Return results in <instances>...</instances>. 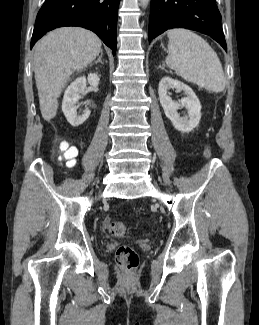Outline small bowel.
Segmentation results:
<instances>
[{
    "label": "small bowel",
    "mask_w": 259,
    "mask_h": 325,
    "mask_svg": "<svg viewBox=\"0 0 259 325\" xmlns=\"http://www.w3.org/2000/svg\"><path fill=\"white\" fill-rule=\"evenodd\" d=\"M73 149H75V151L77 152V149L75 148V147H73V146H71Z\"/></svg>",
    "instance_id": "small-bowel-1"
}]
</instances>
